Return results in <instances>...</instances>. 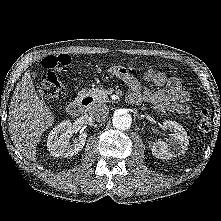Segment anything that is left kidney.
Listing matches in <instances>:
<instances>
[{"instance_id":"left-kidney-1","label":"left kidney","mask_w":221,"mask_h":221,"mask_svg":"<svg viewBox=\"0 0 221 221\" xmlns=\"http://www.w3.org/2000/svg\"><path fill=\"white\" fill-rule=\"evenodd\" d=\"M163 127L172 132L171 138L168 142H150L149 146L153 156L159 159H171L184 153L189 145V139L185 129L179 123L170 120L164 121Z\"/></svg>"}]
</instances>
